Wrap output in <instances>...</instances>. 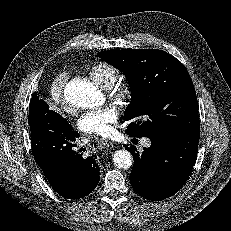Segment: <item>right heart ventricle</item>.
I'll return each mask as SVG.
<instances>
[{
	"mask_svg": "<svg viewBox=\"0 0 231 231\" xmlns=\"http://www.w3.org/2000/svg\"><path fill=\"white\" fill-rule=\"evenodd\" d=\"M91 79L101 88H110L118 78V71L108 63L98 62L87 70Z\"/></svg>",
	"mask_w": 231,
	"mask_h": 231,
	"instance_id": "e07e8e85",
	"label": "right heart ventricle"
}]
</instances>
